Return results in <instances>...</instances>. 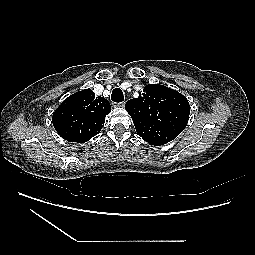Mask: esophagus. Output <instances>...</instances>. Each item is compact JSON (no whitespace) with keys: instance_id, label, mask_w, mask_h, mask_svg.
<instances>
[{"instance_id":"1","label":"esophagus","mask_w":255,"mask_h":255,"mask_svg":"<svg viewBox=\"0 0 255 255\" xmlns=\"http://www.w3.org/2000/svg\"><path fill=\"white\" fill-rule=\"evenodd\" d=\"M112 105L114 106V107H124L125 106V102H120V103H112Z\"/></svg>"}]
</instances>
